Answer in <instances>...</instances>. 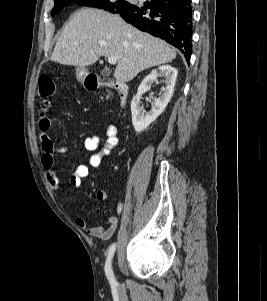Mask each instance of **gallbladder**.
I'll return each instance as SVG.
<instances>
[{"mask_svg":"<svg viewBox=\"0 0 267 301\" xmlns=\"http://www.w3.org/2000/svg\"><path fill=\"white\" fill-rule=\"evenodd\" d=\"M111 74V71L109 69H103L101 71V75L104 76V77H107Z\"/></svg>","mask_w":267,"mask_h":301,"instance_id":"1","label":"gallbladder"}]
</instances>
